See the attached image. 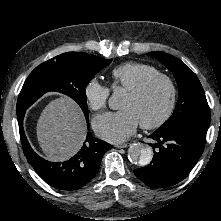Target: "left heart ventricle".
<instances>
[{"label":"left heart ventricle","instance_id":"1","mask_svg":"<svg viewBox=\"0 0 221 221\" xmlns=\"http://www.w3.org/2000/svg\"><path fill=\"white\" fill-rule=\"evenodd\" d=\"M168 98L167 85L163 81H157L139 97L126 93L120 104V109L133 112L139 123L152 122L162 115Z\"/></svg>","mask_w":221,"mask_h":221}]
</instances>
